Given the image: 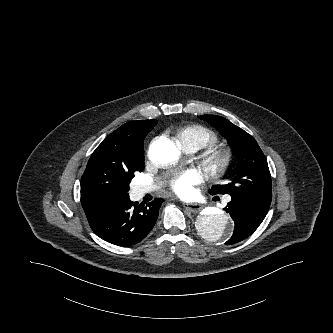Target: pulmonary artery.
I'll return each mask as SVG.
<instances>
[{
    "label": "pulmonary artery",
    "mask_w": 333,
    "mask_h": 333,
    "mask_svg": "<svg viewBox=\"0 0 333 333\" xmlns=\"http://www.w3.org/2000/svg\"><path fill=\"white\" fill-rule=\"evenodd\" d=\"M180 146L186 152H192L197 149L196 146H194L190 143H182V144H180ZM153 189H154V187L152 185H141V186L136 187L135 191L138 196H143L144 194L152 191ZM229 200H230V198L228 197L226 199V201H229Z\"/></svg>",
    "instance_id": "pulmonary-artery-1"
}]
</instances>
